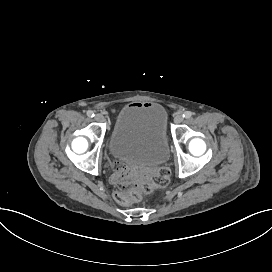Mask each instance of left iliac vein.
<instances>
[{
	"label": "left iliac vein",
	"mask_w": 272,
	"mask_h": 272,
	"mask_svg": "<svg viewBox=\"0 0 272 272\" xmlns=\"http://www.w3.org/2000/svg\"><path fill=\"white\" fill-rule=\"evenodd\" d=\"M182 120H183V116L180 113H176L174 118L175 123H181Z\"/></svg>",
	"instance_id": "1"
}]
</instances>
